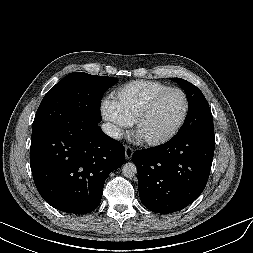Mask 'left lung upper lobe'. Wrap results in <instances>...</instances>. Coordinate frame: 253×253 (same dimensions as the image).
Returning a JSON list of instances; mask_svg holds the SVG:
<instances>
[{"label": "left lung upper lobe", "instance_id": "obj_1", "mask_svg": "<svg viewBox=\"0 0 253 253\" xmlns=\"http://www.w3.org/2000/svg\"><path fill=\"white\" fill-rule=\"evenodd\" d=\"M185 91L188 99V114L178 134L201 131L213 126V116L208 102L199 88L181 78H171Z\"/></svg>", "mask_w": 253, "mask_h": 253}]
</instances>
